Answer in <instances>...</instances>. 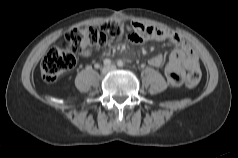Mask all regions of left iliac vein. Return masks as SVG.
<instances>
[{
  "label": "left iliac vein",
  "mask_w": 238,
  "mask_h": 158,
  "mask_svg": "<svg viewBox=\"0 0 238 158\" xmlns=\"http://www.w3.org/2000/svg\"><path fill=\"white\" fill-rule=\"evenodd\" d=\"M109 69H110V70H115V69H116V66H115V65H111V66L109 67Z\"/></svg>",
  "instance_id": "obj_1"
}]
</instances>
